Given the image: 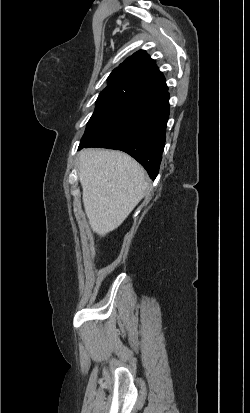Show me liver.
<instances>
[{
	"label": "liver",
	"mask_w": 250,
	"mask_h": 413,
	"mask_svg": "<svg viewBox=\"0 0 250 413\" xmlns=\"http://www.w3.org/2000/svg\"><path fill=\"white\" fill-rule=\"evenodd\" d=\"M78 175L90 227L101 237L123 223L148 187L143 167L120 151L82 150Z\"/></svg>",
	"instance_id": "1"
}]
</instances>
